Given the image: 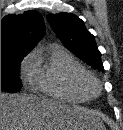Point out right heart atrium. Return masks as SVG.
Here are the masks:
<instances>
[{"label": "right heart atrium", "mask_w": 123, "mask_h": 130, "mask_svg": "<svg viewBox=\"0 0 123 130\" xmlns=\"http://www.w3.org/2000/svg\"><path fill=\"white\" fill-rule=\"evenodd\" d=\"M32 55L28 56L22 64V70L26 73L30 72Z\"/></svg>", "instance_id": "1"}]
</instances>
